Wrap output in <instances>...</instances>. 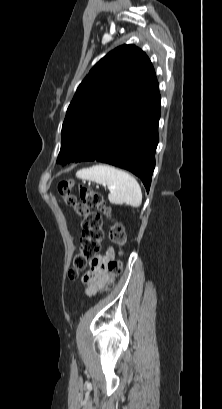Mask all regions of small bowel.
<instances>
[{"instance_id":"1","label":"small bowel","mask_w":222,"mask_h":409,"mask_svg":"<svg viewBox=\"0 0 222 409\" xmlns=\"http://www.w3.org/2000/svg\"><path fill=\"white\" fill-rule=\"evenodd\" d=\"M114 259L112 247H108L104 256H90V270L85 273L83 282L85 284L84 292L87 296H94L100 292L110 279L108 270L110 261Z\"/></svg>"}]
</instances>
